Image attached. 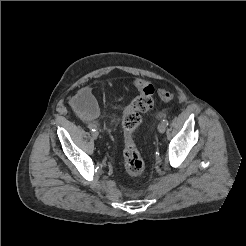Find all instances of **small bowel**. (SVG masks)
Wrapping results in <instances>:
<instances>
[{"mask_svg": "<svg viewBox=\"0 0 246 246\" xmlns=\"http://www.w3.org/2000/svg\"><path fill=\"white\" fill-rule=\"evenodd\" d=\"M117 99H119V97ZM72 106L77 115L85 122L94 121L100 115L99 106L90 88L80 90L74 97Z\"/></svg>", "mask_w": 246, "mask_h": 246, "instance_id": "small-bowel-1", "label": "small bowel"}]
</instances>
